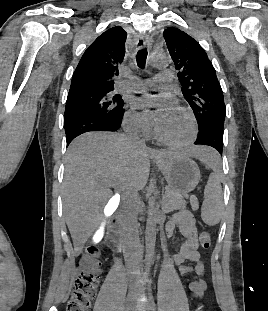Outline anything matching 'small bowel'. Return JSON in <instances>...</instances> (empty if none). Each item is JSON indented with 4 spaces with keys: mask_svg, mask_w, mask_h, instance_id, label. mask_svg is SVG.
Masks as SVG:
<instances>
[{
    "mask_svg": "<svg viewBox=\"0 0 268 311\" xmlns=\"http://www.w3.org/2000/svg\"><path fill=\"white\" fill-rule=\"evenodd\" d=\"M177 232L183 237V241L179 242V251L173 256L179 273L205 276L206 265L198 251V233L194 216L190 211L180 210L166 224L165 234L169 238H175ZM187 261L192 265H186ZM189 287L194 298H201L207 289V282L204 278H197L190 283Z\"/></svg>",
    "mask_w": 268,
    "mask_h": 311,
    "instance_id": "obj_1",
    "label": "small bowel"
}]
</instances>
